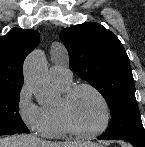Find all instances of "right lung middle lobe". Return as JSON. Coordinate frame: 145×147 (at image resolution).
<instances>
[{
    "instance_id": "dd1d6c3e",
    "label": "right lung middle lobe",
    "mask_w": 145,
    "mask_h": 147,
    "mask_svg": "<svg viewBox=\"0 0 145 147\" xmlns=\"http://www.w3.org/2000/svg\"><path fill=\"white\" fill-rule=\"evenodd\" d=\"M21 88L0 91V136L30 132L18 112Z\"/></svg>"
}]
</instances>
